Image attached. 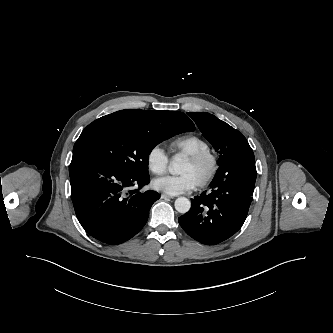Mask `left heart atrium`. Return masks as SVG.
I'll list each match as a JSON object with an SVG mask.
<instances>
[{"mask_svg":"<svg viewBox=\"0 0 333 333\" xmlns=\"http://www.w3.org/2000/svg\"><path fill=\"white\" fill-rule=\"evenodd\" d=\"M153 186L156 190L169 195H179L195 189L197 182L190 175L180 174L155 179Z\"/></svg>","mask_w":333,"mask_h":333,"instance_id":"left-heart-atrium-1","label":"left heart atrium"}]
</instances>
